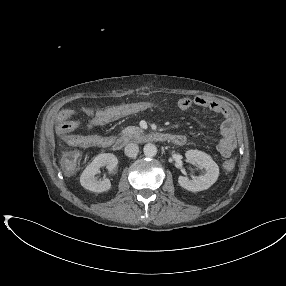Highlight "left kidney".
<instances>
[{"instance_id":"obj_1","label":"left kidney","mask_w":286,"mask_h":286,"mask_svg":"<svg viewBox=\"0 0 286 286\" xmlns=\"http://www.w3.org/2000/svg\"><path fill=\"white\" fill-rule=\"evenodd\" d=\"M187 160L196 164L198 167L205 169L206 173L197 176L193 180L187 177L179 176L178 183L186 190L197 192L206 190L213 185L219 176V167L212 160L211 156L199 150H189L185 153Z\"/></svg>"}]
</instances>
